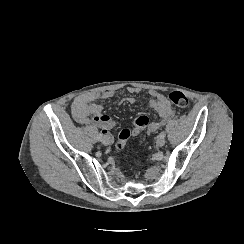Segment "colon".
<instances>
[{"mask_svg":"<svg viewBox=\"0 0 244 244\" xmlns=\"http://www.w3.org/2000/svg\"><path fill=\"white\" fill-rule=\"evenodd\" d=\"M169 100L174 106L180 108L187 107L189 104V99L181 91L171 92L169 94ZM148 124H149V117L145 115H141L134 123L133 132L135 134L139 133L141 130L146 128ZM129 135H130V131L128 129H123L120 131V133L116 138V144H115V149L117 152H121L125 148Z\"/></svg>","mask_w":244,"mask_h":244,"instance_id":"1","label":"colon"}]
</instances>
